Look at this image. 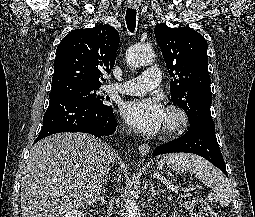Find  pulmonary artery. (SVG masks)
<instances>
[{
  "instance_id": "pulmonary-artery-1",
  "label": "pulmonary artery",
  "mask_w": 255,
  "mask_h": 217,
  "mask_svg": "<svg viewBox=\"0 0 255 217\" xmlns=\"http://www.w3.org/2000/svg\"><path fill=\"white\" fill-rule=\"evenodd\" d=\"M160 78V70L156 67H149L139 76L123 84L114 83L110 88L122 94L141 95L154 89L159 84Z\"/></svg>"
}]
</instances>
